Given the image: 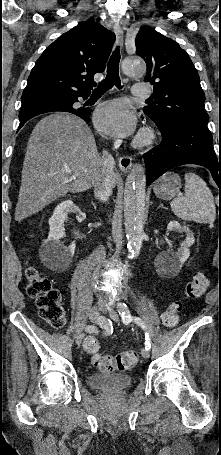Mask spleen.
I'll return each instance as SVG.
<instances>
[{
    "mask_svg": "<svg viewBox=\"0 0 221 455\" xmlns=\"http://www.w3.org/2000/svg\"><path fill=\"white\" fill-rule=\"evenodd\" d=\"M173 213L185 221L213 223L216 208L211 190L197 174L185 173V196L176 197L171 202Z\"/></svg>",
    "mask_w": 221,
    "mask_h": 455,
    "instance_id": "3e777b00",
    "label": "spleen"
}]
</instances>
